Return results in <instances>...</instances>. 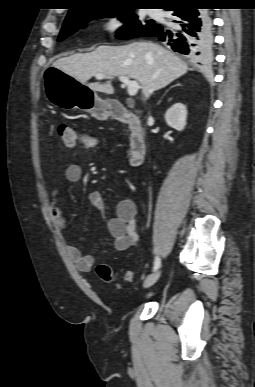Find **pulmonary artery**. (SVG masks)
<instances>
[{"label":"pulmonary artery","instance_id":"1","mask_svg":"<svg viewBox=\"0 0 255 387\" xmlns=\"http://www.w3.org/2000/svg\"><path fill=\"white\" fill-rule=\"evenodd\" d=\"M149 14H150V16L155 17V18L161 17V12L157 11V10H152L149 12Z\"/></svg>","mask_w":255,"mask_h":387}]
</instances>
